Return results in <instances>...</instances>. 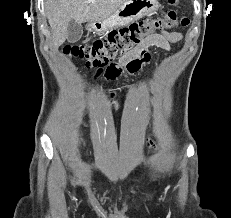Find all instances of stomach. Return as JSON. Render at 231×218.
Returning <instances> with one entry per match:
<instances>
[{"label": "stomach", "mask_w": 231, "mask_h": 218, "mask_svg": "<svg viewBox=\"0 0 231 218\" xmlns=\"http://www.w3.org/2000/svg\"><path fill=\"white\" fill-rule=\"evenodd\" d=\"M158 8L159 3L157 0H125L110 17L89 23L87 29L89 32L101 34L118 27L126 26L155 12Z\"/></svg>", "instance_id": "0dacf381"}]
</instances>
